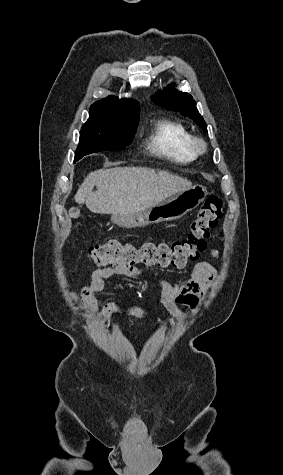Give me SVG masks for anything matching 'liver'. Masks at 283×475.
<instances>
[{"label":"liver","instance_id":"1","mask_svg":"<svg viewBox=\"0 0 283 475\" xmlns=\"http://www.w3.org/2000/svg\"><path fill=\"white\" fill-rule=\"evenodd\" d=\"M96 186V192H92ZM192 182L152 168H110L86 176L74 196L94 214H134L190 190Z\"/></svg>","mask_w":283,"mask_h":475}]
</instances>
